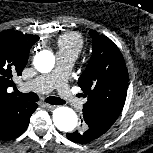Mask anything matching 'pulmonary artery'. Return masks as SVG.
<instances>
[{"instance_id":"pulmonary-artery-1","label":"pulmonary artery","mask_w":153,"mask_h":153,"mask_svg":"<svg viewBox=\"0 0 153 153\" xmlns=\"http://www.w3.org/2000/svg\"><path fill=\"white\" fill-rule=\"evenodd\" d=\"M75 59L76 57L73 55L58 52L55 70L50 74L40 75L31 82L26 83L24 89L46 93L56 88L61 99L74 106H81L83 101L74 96L66 83Z\"/></svg>"}]
</instances>
